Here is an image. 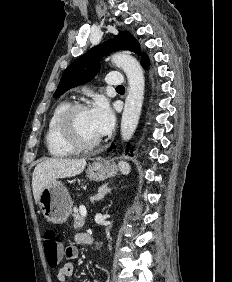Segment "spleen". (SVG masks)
<instances>
[{"label": "spleen", "mask_w": 232, "mask_h": 282, "mask_svg": "<svg viewBox=\"0 0 232 282\" xmlns=\"http://www.w3.org/2000/svg\"><path fill=\"white\" fill-rule=\"evenodd\" d=\"M119 168H120V171L122 173H124V174H127L130 171V168H129L128 164L125 163V162H120L119 163Z\"/></svg>", "instance_id": "spleen-1"}]
</instances>
